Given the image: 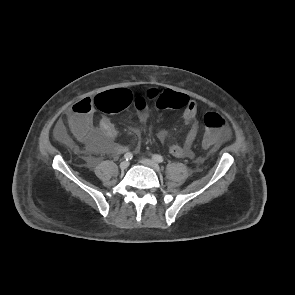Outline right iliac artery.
Listing matches in <instances>:
<instances>
[{"mask_svg": "<svg viewBox=\"0 0 295 295\" xmlns=\"http://www.w3.org/2000/svg\"><path fill=\"white\" fill-rule=\"evenodd\" d=\"M133 158V155H132V153H130V152H128V153H126L125 155H124V159L126 160V161H129V160H131Z\"/></svg>", "mask_w": 295, "mask_h": 295, "instance_id": "1", "label": "right iliac artery"}]
</instances>
